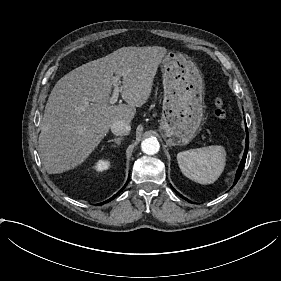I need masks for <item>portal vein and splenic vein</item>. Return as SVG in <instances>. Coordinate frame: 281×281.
Masks as SVG:
<instances>
[{
    "mask_svg": "<svg viewBox=\"0 0 281 281\" xmlns=\"http://www.w3.org/2000/svg\"><path fill=\"white\" fill-rule=\"evenodd\" d=\"M119 79H120V77H117V76H114L112 78L114 90H113V94H112V96L110 98V101H109V103L112 104V105L115 104L118 101L119 92H120V88H119V84H118ZM86 106H89L88 102L86 103Z\"/></svg>",
    "mask_w": 281,
    "mask_h": 281,
    "instance_id": "obj_1",
    "label": "portal vein and splenic vein"
}]
</instances>
